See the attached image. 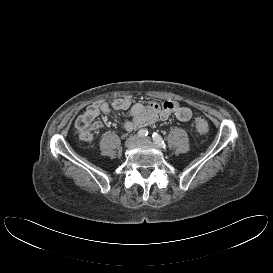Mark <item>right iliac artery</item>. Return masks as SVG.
<instances>
[{"label":"right iliac artery","instance_id":"82829eb1","mask_svg":"<svg viewBox=\"0 0 273 273\" xmlns=\"http://www.w3.org/2000/svg\"><path fill=\"white\" fill-rule=\"evenodd\" d=\"M148 135V131L146 129H141L138 131V136L146 137Z\"/></svg>","mask_w":273,"mask_h":273}]
</instances>
